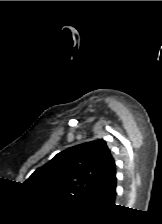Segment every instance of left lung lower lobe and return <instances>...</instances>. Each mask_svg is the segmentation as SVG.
<instances>
[{"instance_id":"1","label":"left lung lower lobe","mask_w":162,"mask_h":224,"mask_svg":"<svg viewBox=\"0 0 162 224\" xmlns=\"http://www.w3.org/2000/svg\"><path fill=\"white\" fill-rule=\"evenodd\" d=\"M116 194V172L111 174L102 186L92 192L86 199L94 202L112 205Z\"/></svg>"}]
</instances>
